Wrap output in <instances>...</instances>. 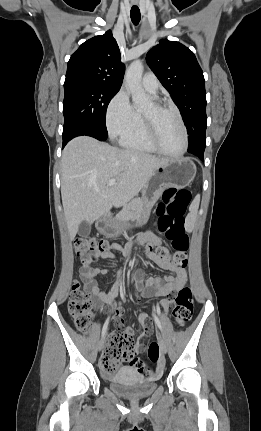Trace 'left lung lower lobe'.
<instances>
[{"label": "left lung lower lobe", "mask_w": 261, "mask_h": 431, "mask_svg": "<svg viewBox=\"0 0 261 431\" xmlns=\"http://www.w3.org/2000/svg\"><path fill=\"white\" fill-rule=\"evenodd\" d=\"M189 153H191V154H193V155H195V156H198L202 161L204 160V152L203 151H192V152H189Z\"/></svg>", "instance_id": "1"}]
</instances>
